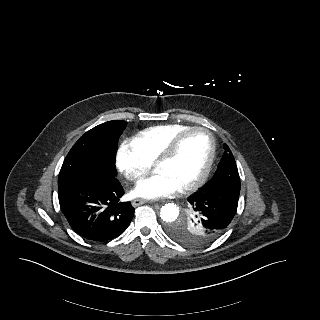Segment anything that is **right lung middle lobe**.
Segmentation results:
<instances>
[{"label":"right lung middle lobe","mask_w":320,"mask_h":320,"mask_svg":"<svg viewBox=\"0 0 320 320\" xmlns=\"http://www.w3.org/2000/svg\"><path fill=\"white\" fill-rule=\"evenodd\" d=\"M126 124L121 120L108 121L84 133L63 162L58 186L92 174L115 177L117 143Z\"/></svg>","instance_id":"dd1d6c3e"}]
</instances>
